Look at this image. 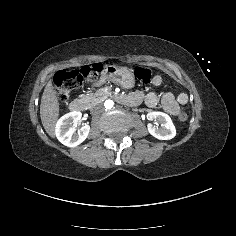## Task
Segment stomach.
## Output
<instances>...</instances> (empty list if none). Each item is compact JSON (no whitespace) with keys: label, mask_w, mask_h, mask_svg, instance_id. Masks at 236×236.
<instances>
[{"label":"stomach","mask_w":236,"mask_h":236,"mask_svg":"<svg viewBox=\"0 0 236 236\" xmlns=\"http://www.w3.org/2000/svg\"><path fill=\"white\" fill-rule=\"evenodd\" d=\"M106 77L124 89H131L135 85V77L132 69L114 65L106 66Z\"/></svg>","instance_id":"stomach-1"}]
</instances>
